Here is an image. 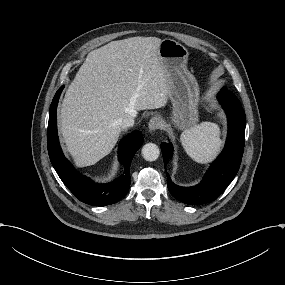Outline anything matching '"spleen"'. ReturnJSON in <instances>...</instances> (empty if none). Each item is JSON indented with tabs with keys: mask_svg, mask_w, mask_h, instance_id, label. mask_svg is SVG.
I'll list each match as a JSON object with an SVG mask.
<instances>
[{
	"mask_svg": "<svg viewBox=\"0 0 285 285\" xmlns=\"http://www.w3.org/2000/svg\"><path fill=\"white\" fill-rule=\"evenodd\" d=\"M180 141L188 156L201 164L212 161L223 143L219 126L211 122H202L185 130L180 136Z\"/></svg>",
	"mask_w": 285,
	"mask_h": 285,
	"instance_id": "obj_1",
	"label": "spleen"
}]
</instances>
